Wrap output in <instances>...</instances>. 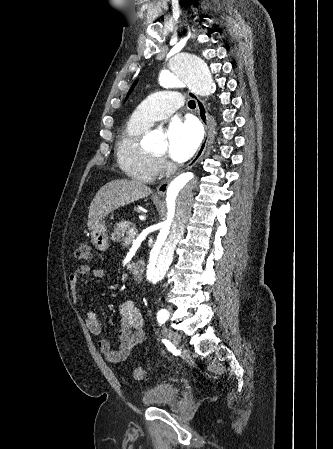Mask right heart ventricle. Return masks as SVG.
I'll return each mask as SVG.
<instances>
[{
  "label": "right heart ventricle",
  "instance_id": "right-heart-ventricle-1",
  "mask_svg": "<svg viewBox=\"0 0 333 449\" xmlns=\"http://www.w3.org/2000/svg\"><path fill=\"white\" fill-rule=\"evenodd\" d=\"M148 130V126L131 118L120 131L115 149L120 167L141 182L153 181L160 172L158 158L142 146V138Z\"/></svg>",
  "mask_w": 333,
  "mask_h": 449
}]
</instances>
